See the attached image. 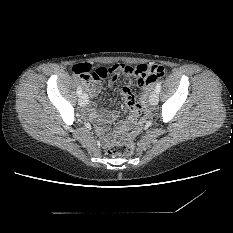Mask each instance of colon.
<instances>
[{"label": "colon", "mask_w": 233, "mask_h": 233, "mask_svg": "<svg viewBox=\"0 0 233 233\" xmlns=\"http://www.w3.org/2000/svg\"><path fill=\"white\" fill-rule=\"evenodd\" d=\"M72 71L76 73L81 79L83 84L90 80L105 79L115 73H122L127 76L136 77L141 82L151 83L160 78L164 74V67L158 64L154 65H133L119 63L111 67H98L94 70L88 63H80L72 66ZM146 108V96L142 95L141 104L135 106L134 110L142 111ZM133 152V140L131 138L118 140L113 143L109 148L111 156H127Z\"/></svg>", "instance_id": "obj_1"}]
</instances>
